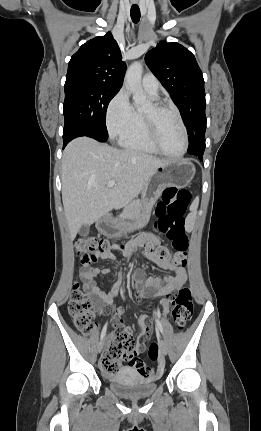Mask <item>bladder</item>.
Instances as JSON below:
<instances>
[{
    "label": "bladder",
    "instance_id": "bladder-1",
    "mask_svg": "<svg viewBox=\"0 0 261 431\" xmlns=\"http://www.w3.org/2000/svg\"><path fill=\"white\" fill-rule=\"evenodd\" d=\"M110 389L119 396L137 399L150 396L157 388L154 379H145L130 368L124 367L108 378Z\"/></svg>",
    "mask_w": 261,
    "mask_h": 431
}]
</instances>
